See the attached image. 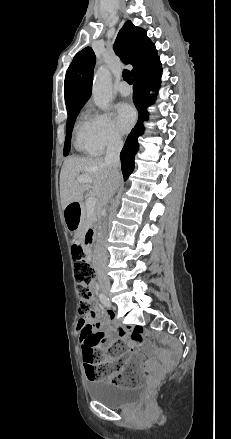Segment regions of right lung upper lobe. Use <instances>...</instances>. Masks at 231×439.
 <instances>
[{
	"mask_svg": "<svg viewBox=\"0 0 231 439\" xmlns=\"http://www.w3.org/2000/svg\"><path fill=\"white\" fill-rule=\"evenodd\" d=\"M114 51L125 64L133 66L132 75L151 65L157 58L155 45L146 32L127 21L118 33ZM95 54L86 47L73 58L65 77L64 96L67 110L83 106L91 96Z\"/></svg>",
	"mask_w": 231,
	"mask_h": 439,
	"instance_id": "right-lung-upper-lobe-1",
	"label": "right lung upper lobe"
}]
</instances>
